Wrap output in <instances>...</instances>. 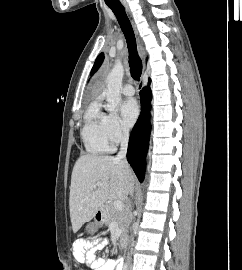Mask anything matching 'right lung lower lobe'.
<instances>
[{
	"mask_svg": "<svg viewBox=\"0 0 242 270\" xmlns=\"http://www.w3.org/2000/svg\"><path fill=\"white\" fill-rule=\"evenodd\" d=\"M148 85H150V79ZM140 95L142 107L141 114L130 135L127 159L139 181L142 182L145 171V156L148 150L151 130L149 113L151 91L149 86L148 88H144Z\"/></svg>",
	"mask_w": 242,
	"mask_h": 270,
	"instance_id": "98d812e1",
	"label": "right lung lower lobe"
}]
</instances>
